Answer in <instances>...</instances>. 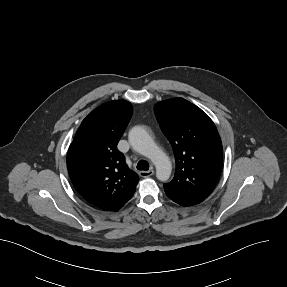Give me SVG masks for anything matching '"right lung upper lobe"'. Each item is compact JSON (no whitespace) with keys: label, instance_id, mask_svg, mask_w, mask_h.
Wrapping results in <instances>:
<instances>
[{"label":"right lung upper lobe","instance_id":"1","mask_svg":"<svg viewBox=\"0 0 287 287\" xmlns=\"http://www.w3.org/2000/svg\"><path fill=\"white\" fill-rule=\"evenodd\" d=\"M131 116L128 101L100 105L83 120L69 148L67 167L75 189L100 209L136 190L138 175L127 167L117 149Z\"/></svg>","mask_w":287,"mask_h":287}]
</instances>
